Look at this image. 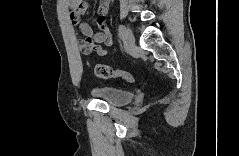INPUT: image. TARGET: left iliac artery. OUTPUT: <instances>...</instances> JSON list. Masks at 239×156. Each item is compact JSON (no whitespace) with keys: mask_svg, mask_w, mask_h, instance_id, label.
I'll use <instances>...</instances> for the list:
<instances>
[{"mask_svg":"<svg viewBox=\"0 0 239 156\" xmlns=\"http://www.w3.org/2000/svg\"><path fill=\"white\" fill-rule=\"evenodd\" d=\"M119 37L123 38L124 37V33H125V27L123 25H119Z\"/></svg>","mask_w":239,"mask_h":156,"instance_id":"1","label":"left iliac artery"}]
</instances>
